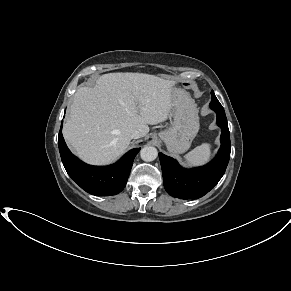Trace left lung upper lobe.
<instances>
[{
    "label": "left lung upper lobe",
    "mask_w": 291,
    "mask_h": 291,
    "mask_svg": "<svg viewBox=\"0 0 291 291\" xmlns=\"http://www.w3.org/2000/svg\"><path fill=\"white\" fill-rule=\"evenodd\" d=\"M211 95H212L211 102H219L213 91H211Z\"/></svg>",
    "instance_id": "obj_1"
}]
</instances>
